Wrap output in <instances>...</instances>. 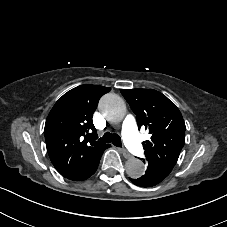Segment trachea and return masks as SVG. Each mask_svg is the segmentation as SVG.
<instances>
[{"instance_id": "1", "label": "trachea", "mask_w": 227, "mask_h": 227, "mask_svg": "<svg viewBox=\"0 0 227 227\" xmlns=\"http://www.w3.org/2000/svg\"><path fill=\"white\" fill-rule=\"evenodd\" d=\"M98 140L106 143L112 142L117 147H122L121 138L117 134H111L110 132H106L102 137Z\"/></svg>"}]
</instances>
